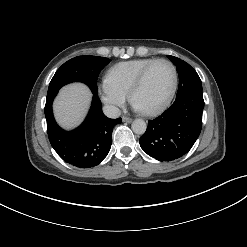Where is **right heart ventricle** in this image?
<instances>
[{
	"label": "right heart ventricle",
	"instance_id": "1",
	"mask_svg": "<svg viewBox=\"0 0 247 247\" xmlns=\"http://www.w3.org/2000/svg\"><path fill=\"white\" fill-rule=\"evenodd\" d=\"M156 58H139L123 61L112 66L107 73V79L126 93L141 73V71Z\"/></svg>",
	"mask_w": 247,
	"mask_h": 247
}]
</instances>
